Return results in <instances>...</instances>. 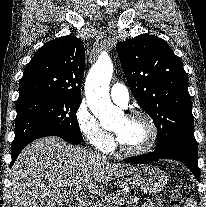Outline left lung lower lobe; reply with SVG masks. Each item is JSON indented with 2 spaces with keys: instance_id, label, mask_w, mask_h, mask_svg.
Wrapping results in <instances>:
<instances>
[{
  "instance_id": "0a47b994",
  "label": "left lung lower lobe",
  "mask_w": 206,
  "mask_h": 207,
  "mask_svg": "<svg viewBox=\"0 0 206 207\" xmlns=\"http://www.w3.org/2000/svg\"><path fill=\"white\" fill-rule=\"evenodd\" d=\"M174 159L183 162L200 181V172L198 168V149L192 147H176L163 151H155L140 156L130 158L127 163L147 164L158 159Z\"/></svg>"
}]
</instances>
